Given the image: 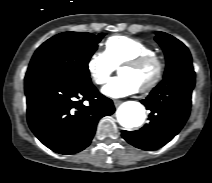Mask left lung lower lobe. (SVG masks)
<instances>
[{"mask_svg": "<svg viewBox=\"0 0 212 183\" xmlns=\"http://www.w3.org/2000/svg\"><path fill=\"white\" fill-rule=\"evenodd\" d=\"M195 85L192 63L165 77L141 102L150 110V122L138 131H122V137L143 150H155L167 144L182 129L191 108Z\"/></svg>", "mask_w": 212, "mask_h": 183, "instance_id": "1", "label": "left lung lower lobe"}]
</instances>
